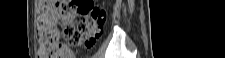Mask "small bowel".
<instances>
[{"label":"small bowel","instance_id":"small-bowel-1","mask_svg":"<svg viewBox=\"0 0 225 58\" xmlns=\"http://www.w3.org/2000/svg\"><path fill=\"white\" fill-rule=\"evenodd\" d=\"M68 20L72 21V18H69ZM64 58H73V55L70 51L67 50Z\"/></svg>","mask_w":225,"mask_h":58}]
</instances>
